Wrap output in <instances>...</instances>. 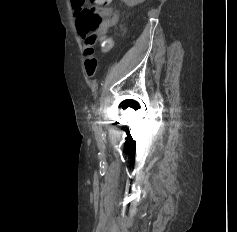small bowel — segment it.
<instances>
[{
    "mask_svg": "<svg viewBox=\"0 0 237 232\" xmlns=\"http://www.w3.org/2000/svg\"><path fill=\"white\" fill-rule=\"evenodd\" d=\"M96 11L100 15H106L108 13V10L105 8H97ZM117 16L116 15H111L104 19L102 22V30L103 32H106L108 29L113 27L116 23ZM84 56H85V61H84V67H85V72L86 74L91 77L94 75L97 67V60L94 56V49L93 46L89 43L86 44L84 48Z\"/></svg>",
    "mask_w": 237,
    "mask_h": 232,
    "instance_id": "obj_1",
    "label": "small bowel"
}]
</instances>
